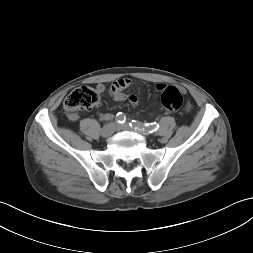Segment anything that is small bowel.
I'll return each mask as SVG.
<instances>
[{
	"mask_svg": "<svg viewBox=\"0 0 253 253\" xmlns=\"http://www.w3.org/2000/svg\"><path fill=\"white\" fill-rule=\"evenodd\" d=\"M130 84L131 80L128 78H121L113 82L110 88V94L112 98L118 102H123L128 99L132 105H136L137 103L136 96L131 95L128 97L126 94L123 93V90L127 88ZM165 87H166L165 84L160 83L157 85V90L162 91ZM96 90L98 91V93H102L104 91V85L98 84L96 86ZM182 110L185 113H190L193 110V105L190 102H185L182 105ZM68 117L71 120H76L78 118L77 114H68ZM110 117L111 116L109 114H102L103 119H110Z\"/></svg>",
	"mask_w": 253,
	"mask_h": 253,
	"instance_id": "1",
	"label": "small bowel"
}]
</instances>
